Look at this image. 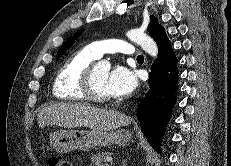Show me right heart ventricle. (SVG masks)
I'll use <instances>...</instances> for the list:
<instances>
[{
  "instance_id": "1",
  "label": "right heart ventricle",
  "mask_w": 231,
  "mask_h": 166,
  "mask_svg": "<svg viewBox=\"0 0 231 166\" xmlns=\"http://www.w3.org/2000/svg\"><path fill=\"white\" fill-rule=\"evenodd\" d=\"M96 59L88 46L71 54L57 71L52 86L53 95L59 100H86L81 88L82 76Z\"/></svg>"
}]
</instances>
